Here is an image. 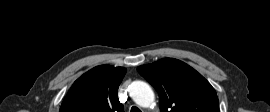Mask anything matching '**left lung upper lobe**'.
Returning a JSON list of instances; mask_svg holds the SVG:
<instances>
[{"mask_svg":"<svg viewBox=\"0 0 270 112\" xmlns=\"http://www.w3.org/2000/svg\"><path fill=\"white\" fill-rule=\"evenodd\" d=\"M137 70L158 92L161 112H219L214 88L184 62L164 58Z\"/></svg>","mask_w":270,"mask_h":112,"instance_id":"1","label":"left lung upper lobe"}]
</instances>
